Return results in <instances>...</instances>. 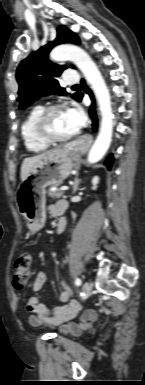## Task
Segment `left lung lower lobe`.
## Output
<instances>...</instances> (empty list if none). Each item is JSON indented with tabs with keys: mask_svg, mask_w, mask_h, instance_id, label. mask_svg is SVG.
Returning <instances> with one entry per match:
<instances>
[{
	"mask_svg": "<svg viewBox=\"0 0 145 385\" xmlns=\"http://www.w3.org/2000/svg\"><path fill=\"white\" fill-rule=\"evenodd\" d=\"M82 85L84 86V90L87 94L90 95L91 99L93 100V103L91 105V108L89 110L90 112V117L92 118L93 120V130L96 131V128H97V117H96V112H95V108H94V97H93V94L92 92L89 90L88 87H86L84 81H82ZM82 99V98H81ZM113 163V157L112 155H110L106 161H105V165L107 166V168L110 170L111 169V165Z\"/></svg>",
	"mask_w": 145,
	"mask_h": 385,
	"instance_id": "obj_1",
	"label": "left lung lower lobe"
}]
</instances>
